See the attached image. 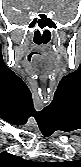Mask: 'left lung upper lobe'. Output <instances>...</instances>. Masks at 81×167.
Returning <instances> with one entry per match:
<instances>
[{
  "instance_id": "left-lung-upper-lobe-1",
  "label": "left lung upper lobe",
  "mask_w": 81,
  "mask_h": 167,
  "mask_svg": "<svg viewBox=\"0 0 81 167\" xmlns=\"http://www.w3.org/2000/svg\"><path fill=\"white\" fill-rule=\"evenodd\" d=\"M76 161H65V162H61V163H54L53 166L55 167H70L72 163H74Z\"/></svg>"
}]
</instances>
